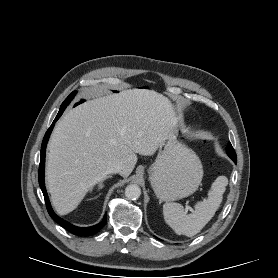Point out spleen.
<instances>
[{
  "mask_svg": "<svg viewBox=\"0 0 278 278\" xmlns=\"http://www.w3.org/2000/svg\"><path fill=\"white\" fill-rule=\"evenodd\" d=\"M227 183L228 179L225 176L217 177L208 192V198L197 203L195 210L190 214L184 212L181 204L165 203L163 206L165 222L177 235L187 237L196 235L215 215L222 202Z\"/></svg>",
  "mask_w": 278,
  "mask_h": 278,
  "instance_id": "3e777b00",
  "label": "spleen"
}]
</instances>
